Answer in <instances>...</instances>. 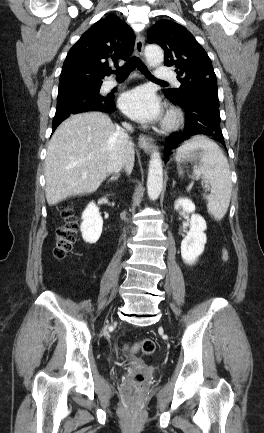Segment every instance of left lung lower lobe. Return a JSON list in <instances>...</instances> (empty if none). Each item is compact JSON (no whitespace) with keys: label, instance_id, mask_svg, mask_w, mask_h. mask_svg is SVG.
Returning a JSON list of instances; mask_svg holds the SVG:
<instances>
[{"label":"left lung lower lobe","instance_id":"1","mask_svg":"<svg viewBox=\"0 0 264 433\" xmlns=\"http://www.w3.org/2000/svg\"><path fill=\"white\" fill-rule=\"evenodd\" d=\"M168 98L173 103L180 105L185 111L186 126L182 132L167 137L164 152L165 161L170 155V150L177 148L180 143L194 135L208 136L225 146L220 127L218 97L204 93H193L185 95L181 99Z\"/></svg>","mask_w":264,"mask_h":433}]
</instances>
